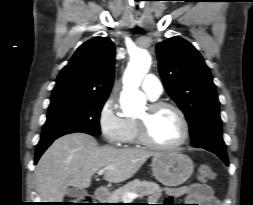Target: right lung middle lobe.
I'll list each match as a JSON object with an SVG mask.
<instances>
[{"mask_svg":"<svg viewBox=\"0 0 253 205\" xmlns=\"http://www.w3.org/2000/svg\"><path fill=\"white\" fill-rule=\"evenodd\" d=\"M107 98L65 97L51 100L41 138L68 132L100 135V111Z\"/></svg>","mask_w":253,"mask_h":205,"instance_id":"obj_1","label":"right lung middle lobe"}]
</instances>
